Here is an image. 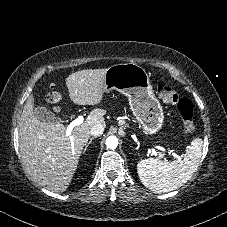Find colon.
<instances>
[{"label":"colon","instance_id":"colon-1","mask_svg":"<svg viewBox=\"0 0 227 227\" xmlns=\"http://www.w3.org/2000/svg\"><path fill=\"white\" fill-rule=\"evenodd\" d=\"M157 93L164 103L177 104L183 128L185 131L191 132L194 129L193 105L191 101L188 99H180L177 90L170 85H158ZM61 96L60 89L58 87H52L48 92L47 99L51 104L57 105L61 100Z\"/></svg>","mask_w":227,"mask_h":227}]
</instances>
